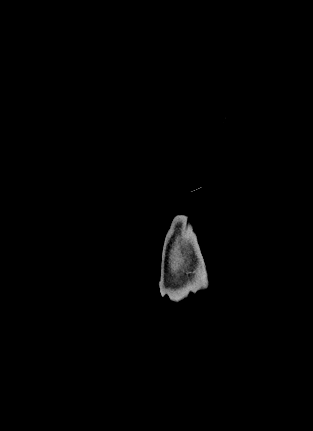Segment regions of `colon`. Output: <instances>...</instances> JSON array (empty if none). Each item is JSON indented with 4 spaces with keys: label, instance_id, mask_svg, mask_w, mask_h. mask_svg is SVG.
<instances>
[{
    "label": "colon",
    "instance_id": "colon-1",
    "mask_svg": "<svg viewBox=\"0 0 313 431\" xmlns=\"http://www.w3.org/2000/svg\"><path fill=\"white\" fill-rule=\"evenodd\" d=\"M233 117H236V115H234V114L230 115V118L228 119V121L231 122Z\"/></svg>",
    "mask_w": 313,
    "mask_h": 431
}]
</instances>
